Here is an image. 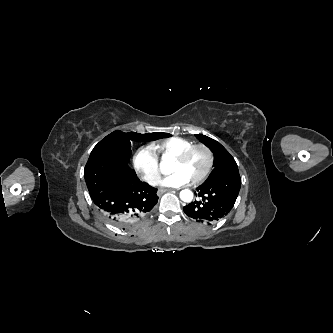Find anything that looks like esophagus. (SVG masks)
<instances>
[{"instance_id": "obj_1", "label": "esophagus", "mask_w": 333, "mask_h": 333, "mask_svg": "<svg viewBox=\"0 0 333 333\" xmlns=\"http://www.w3.org/2000/svg\"><path fill=\"white\" fill-rule=\"evenodd\" d=\"M170 190H171V189H159L158 192H157V194H158V196H160V195H162L163 193L168 192V191H170Z\"/></svg>"}]
</instances>
